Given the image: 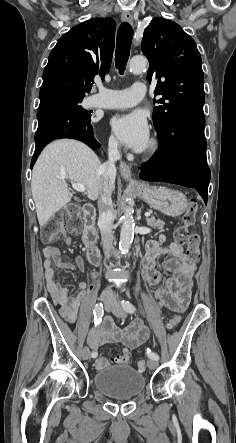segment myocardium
Segmentation results:
<instances>
[{"mask_svg": "<svg viewBox=\"0 0 236 443\" xmlns=\"http://www.w3.org/2000/svg\"><path fill=\"white\" fill-rule=\"evenodd\" d=\"M159 149V143L158 141L153 138L147 145V148L145 150L146 155L151 156L154 155Z\"/></svg>", "mask_w": 236, "mask_h": 443, "instance_id": "f54148a6", "label": "myocardium"}]
</instances>
